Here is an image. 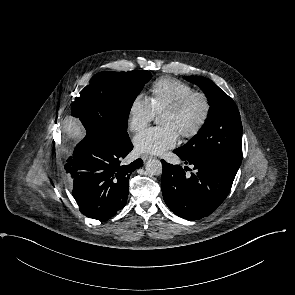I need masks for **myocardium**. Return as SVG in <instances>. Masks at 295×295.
I'll use <instances>...</instances> for the list:
<instances>
[{
  "mask_svg": "<svg viewBox=\"0 0 295 295\" xmlns=\"http://www.w3.org/2000/svg\"><path fill=\"white\" fill-rule=\"evenodd\" d=\"M196 99L200 100L202 103V113L192 128L179 133L184 138H192L196 136L206 125L212 110V102L209 95L202 90H193L163 112L166 114L181 115Z\"/></svg>",
  "mask_w": 295,
  "mask_h": 295,
  "instance_id": "myocardium-1",
  "label": "myocardium"
}]
</instances>
